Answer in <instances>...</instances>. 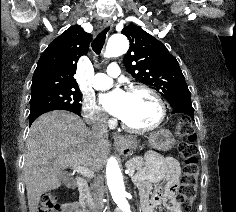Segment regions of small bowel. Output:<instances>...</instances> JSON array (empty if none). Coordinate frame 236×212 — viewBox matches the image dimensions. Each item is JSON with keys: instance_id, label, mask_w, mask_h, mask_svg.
Segmentation results:
<instances>
[{"instance_id": "1", "label": "small bowel", "mask_w": 236, "mask_h": 212, "mask_svg": "<svg viewBox=\"0 0 236 212\" xmlns=\"http://www.w3.org/2000/svg\"><path fill=\"white\" fill-rule=\"evenodd\" d=\"M180 172V166L176 159L155 157L147 168L138 173L136 182L140 191L143 212H156L161 204L165 205L166 212H182L173 191ZM162 180H165V184L152 193L153 185ZM61 212L82 211L79 204L68 202L62 204Z\"/></svg>"}]
</instances>
